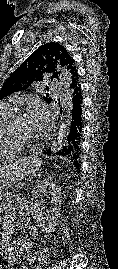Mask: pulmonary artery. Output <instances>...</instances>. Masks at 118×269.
<instances>
[{
	"label": "pulmonary artery",
	"mask_w": 118,
	"mask_h": 269,
	"mask_svg": "<svg viewBox=\"0 0 118 269\" xmlns=\"http://www.w3.org/2000/svg\"><path fill=\"white\" fill-rule=\"evenodd\" d=\"M48 86L51 87V88H57L58 87V85L53 83V82H48ZM1 104L8 106V104H6V103H1Z\"/></svg>",
	"instance_id": "obj_1"
}]
</instances>
